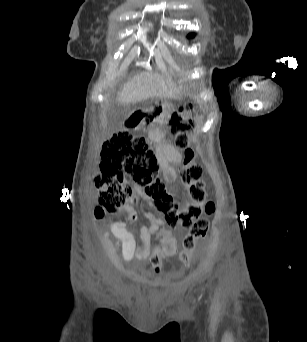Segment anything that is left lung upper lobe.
<instances>
[{
    "mask_svg": "<svg viewBox=\"0 0 307 342\" xmlns=\"http://www.w3.org/2000/svg\"><path fill=\"white\" fill-rule=\"evenodd\" d=\"M192 36H194L193 34H190L188 37H192Z\"/></svg>",
    "mask_w": 307,
    "mask_h": 342,
    "instance_id": "1",
    "label": "left lung upper lobe"
}]
</instances>
